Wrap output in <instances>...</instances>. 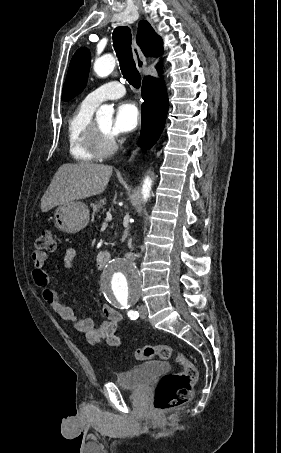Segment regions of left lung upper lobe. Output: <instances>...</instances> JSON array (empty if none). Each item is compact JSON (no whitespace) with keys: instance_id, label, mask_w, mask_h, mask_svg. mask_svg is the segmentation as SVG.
<instances>
[{"instance_id":"1","label":"left lung upper lobe","mask_w":281,"mask_h":453,"mask_svg":"<svg viewBox=\"0 0 281 453\" xmlns=\"http://www.w3.org/2000/svg\"><path fill=\"white\" fill-rule=\"evenodd\" d=\"M90 66V52L80 48L71 59L62 91V100L68 101L78 95L86 86Z\"/></svg>"}]
</instances>
